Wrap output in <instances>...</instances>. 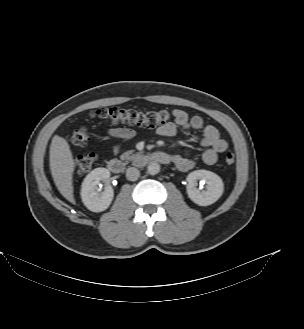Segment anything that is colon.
<instances>
[{
    "label": "colon",
    "instance_id": "colon-1",
    "mask_svg": "<svg viewBox=\"0 0 304 329\" xmlns=\"http://www.w3.org/2000/svg\"><path fill=\"white\" fill-rule=\"evenodd\" d=\"M91 116L102 123H126L135 126H145L154 128L168 123L173 117L168 110L158 111H138L133 109L102 108L92 112ZM91 137L86 127L76 129L71 137V142L75 146H84L89 143ZM225 163L232 165L235 161L231 151L225 154ZM96 161L94 153L81 156L76 161V172L83 175L91 171Z\"/></svg>",
    "mask_w": 304,
    "mask_h": 329
}]
</instances>
